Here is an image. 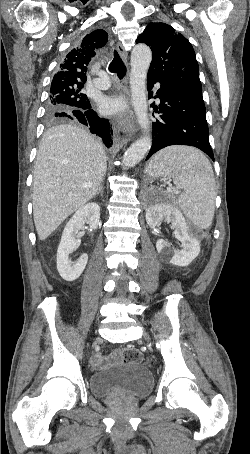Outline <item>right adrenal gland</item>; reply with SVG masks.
<instances>
[{"label":"right adrenal gland","mask_w":250,"mask_h":454,"mask_svg":"<svg viewBox=\"0 0 250 454\" xmlns=\"http://www.w3.org/2000/svg\"><path fill=\"white\" fill-rule=\"evenodd\" d=\"M103 183H104V180H102V182H101V184H100V186L98 188V191L96 193V195L100 194L102 197H103Z\"/></svg>","instance_id":"1"}]
</instances>
